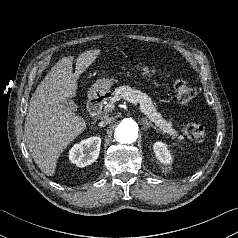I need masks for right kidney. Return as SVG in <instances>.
I'll use <instances>...</instances> for the list:
<instances>
[{
    "label": "right kidney",
    "instance_id": "right-kidney-1",
    "mask_svg": "<svg viewBox=\"0 0 238 238\" xmlns=\"http://www.w3.org/2000/svg\"><path fill=\"white\" fill-rule=\"evenodd\" d=\"M101 138L93 136L75 144L69 151V159L78 167H85L95 162L99 156Z\"/></svg>",
    "mask_w": 238,
    "mask_h": 238
}]
</instances>
